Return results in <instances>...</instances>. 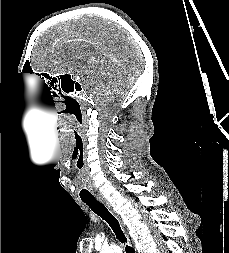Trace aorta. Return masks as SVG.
Here are the masks:
<instances>
[{"label": "aorta", "mask_w": 229, "mask_h": 253, "mask_svg": "<svg viewBox=\"0 0 229 253\" xmlns=\"http://www.w3.org/2000/svg\"><path fill=\"white\" fill-rule=\"evenodd\" d=\"M101 253H122V249L119 246L112 245L102 249Z\"/></svg>", "instance_id": "1"}]
</instances>
